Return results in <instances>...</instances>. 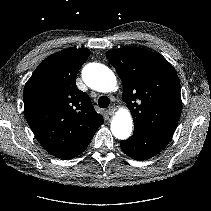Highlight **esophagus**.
<instances>
[{"mask_svg":"<svg viewBox=\"0 0 211 211\" xmlns=\"http://www.w3.org/2000/svg\"><path fill=\"white\" fill-rule=\"evenodd\" d=\"M115 111H116V107H115V106H110V107L108 108V110H107V113H108L109 115H113V114L115 113Z\"/></svg>","mask_w":211,"mask_h":211,"instance_id":"1","label":"esophagus"}]
</instances>
